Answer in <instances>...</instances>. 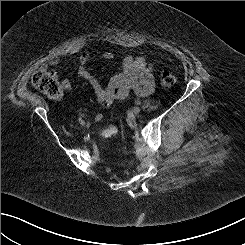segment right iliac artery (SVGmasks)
Wrapping results in <instances>:
<instances>
[{
	"label": "right iliac artery",
	"mask_w": 245,
	"mask_h": 245,
	"mask_svg": "<svg viewBox=\"0 0 245 245\" xmlns=\"http://www.w3.org/2000/svg\"><path fill=\"white\" fill-rule=\"evenodd\" d=\"M78 120H79L80 123L83 121L81 116L79 117Z\"/></svg>",
	"instance_id": "1"
}]
</instances>
